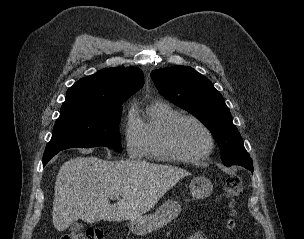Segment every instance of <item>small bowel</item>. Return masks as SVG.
I'll use <instances>...</instances> for the list:
<instances>
[{"label": "small bowel", "instance_id": "obj_1", "mask_svg": "<svg viewBox=\"0 0 304 239\" xmlns=\"http://www.w3.org/2000/svg\"><path fill=\"white\" fill-rule=\"evenodd\" d=\"M187 239H207V238L202 232H197V233L189 236Z\"/></svg>", "mask_w": 304, "mask_h": 239}]
</instances>
